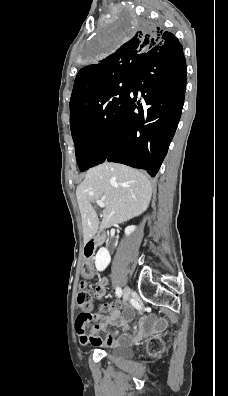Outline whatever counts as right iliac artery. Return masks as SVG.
I'll return each instance as SVG.
<instances>
[{"label": "right iliac artery", "mask_w": 228, "mask_h": 396, "mask_svg": "<svg viewBox=\"0 0 228 396\" xmlns=\"http://www.w3.org/2000/svg\"><path fill=\"white\" fill-rule=\"evenodd\" d=\"M116 295H117L118 297H121V296H122V290H121L120 287H117V288H116Z\"/></svg>", "instance_id": "obj_1"}]
</instances>
